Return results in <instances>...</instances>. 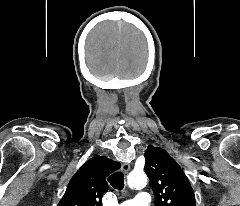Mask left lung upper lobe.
<instances>
[{"instance_id":"5c2ea615","label":"left lung upper lobe","mask_w":240,"mask_h":206,"mask_svg":"<svg viewBox=\"0 0 240 206\" xmlns=\"http://www.w3.org/2000/svg\"><path fill=\"white\" fill-rule=\"evenodd\" d=\"M144 156L156 206H196L188 178L165 150L148 145Z\"/></svg>"}]
</instances>
